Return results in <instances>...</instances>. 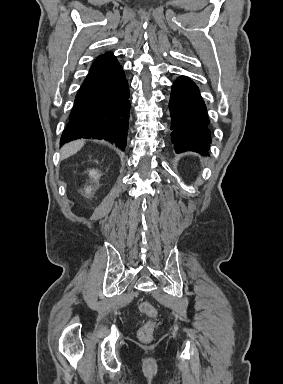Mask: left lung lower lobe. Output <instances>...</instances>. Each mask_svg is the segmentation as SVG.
I'll return each instance as SVG.
<instances>
[{
	"mask_svg": "<svg viewBox=\"0 0 283 384\" xmlns=\"http://www.w3.org/2000/svg\"><path fill=\"white\" fill-rule=\"evenodd\" d=\"M169 110L171 142L176 153L193 151L207 155L211 143L209 119L199 89L192 80L183 76L174 82Z\"/></svg>",
	"mask_w": 283,
	"mask_h": 384,
	"instance_id": "1",
	"label": "left lung lower lobe"
}]
</instances>
